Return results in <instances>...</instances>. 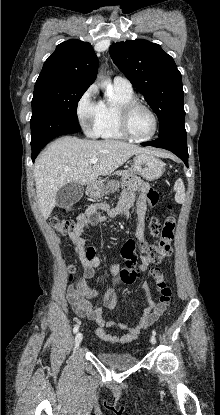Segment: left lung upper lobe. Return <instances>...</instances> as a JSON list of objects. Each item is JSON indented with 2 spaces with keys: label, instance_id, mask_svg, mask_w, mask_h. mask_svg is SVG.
<instances>
[{
  "label": "left lung upper lobe",
  "instance_id": "left-lung-upper-lobe-1",
  "mask_svg": "<svg viewBox=\"0 0 220 415\" xmlns=\"http://www.w3.org/2000/svg\"><path fill=\"white\" fill-rule=\"evenodd\" d=\"M110 56L156 113L159 136L184 124L182 76L173 58L160 45L147 40L113 43Z\"/></svg>",
  "mask_w": 220,
  "mask_h": 415
}]
</instances>
